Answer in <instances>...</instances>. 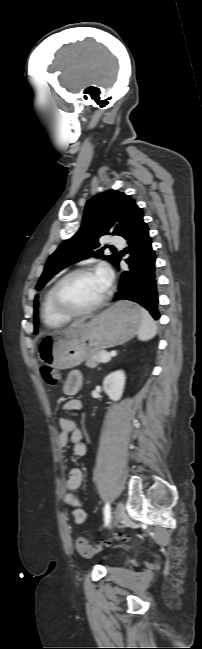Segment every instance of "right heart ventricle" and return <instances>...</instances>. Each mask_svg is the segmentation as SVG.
I'll return each instance as SVG.
<instances>
[{"instance_id":"e07e8e85","label":"right heart ventricle","mask_w":202,"mask_h":649,"mask_svg":"<svg viewBox=\"0 0 202 649\" xmlns=\"http://www.w3.org/2000/svg\"><path fill=\"white\" fill-rule=\"evenodd\" d=\"M55 283L51 284L45 291L41 303V317L45 325L51 328L61 327L68 323L71 317L60 313L52 300V291Z\"/></svg>"}]
</instances>
